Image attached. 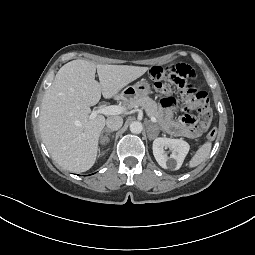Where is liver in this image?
<instances>
[{
    "mask_svg": "<svg viewBox=\"0 0 255 255\" xmlns=\"http://www.w3.org/2000/svg\"><path fill=\"white\" fill-rule=\"evenodd\" d=\"M96 69L99 82L95 80ZM147 70L82 59L62 66L45 92L39 116L41 137L52 159L69 171L89 170L96 161L106 122L103 115L91 119L90 106L96 105L101 95L114 97Z\"/></svg>",
    "mask_w": 255,
    "mask_h": 255,
    "instance_id": "6515ba94",
    "label": "liver"
}]
</instances>
